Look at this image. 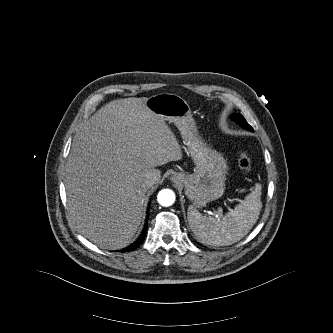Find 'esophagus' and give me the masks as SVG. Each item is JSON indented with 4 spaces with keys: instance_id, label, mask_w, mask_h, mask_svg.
Returning <instances> with one entry per match:
<instances>
[{
    "instance_id": "esophagus-1",
    "label": "esophagus",
    "mask_w": 333,
    "mask_h": 333,
    "mask_svg": "<svg viewBox=\"0 0 333 333\" xmlns=\"http://www.w3.org/2000/svg\"><path fill=\"white\" fill-rule=\"evenodd\" d=\"M177 179H178V176H176V175H174V176L172 177V180H173V181H177Z\"/></svg>"
}]
</instances>
